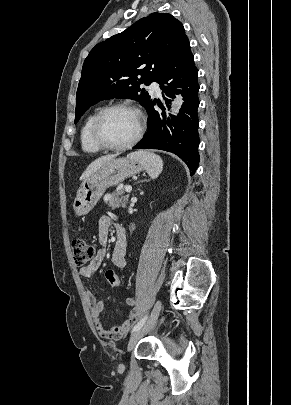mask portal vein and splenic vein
<instances>
[{"mask_svg":"<svg viewBox=\"0 0 291 405\" xmlns=\"http://www.w3.org/2000/svg\"><path fill=\"white\" fill-rule=\"evenodd\" d=\"M125 191H126L127 193H130V192L132 191V187H131L130 185L126 186V187H125Z\"/></svg>","mask_w":291,"mask_h":405,"instance_id":"18ae733b","label":"portal vein and splenic vein"}]
</instances>
